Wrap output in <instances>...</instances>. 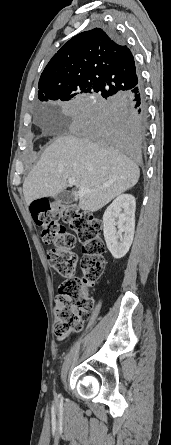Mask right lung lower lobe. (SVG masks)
<instances>
[{"mask_svg":"<svg viewBox=\"0 0 171 445\" xmlns=\"http://www.w3.org/2000/svg\"><path fill=\"white\" fill-rule=\"evenodd\" d=\"M120 40L114 30H110ZM90 135L133 160L141 158L147 110L141 85L129 93L94 102L88 111Z\"/></svg>","mask_w":171,"mask_h":445,"instance_id":"obj_1","label":"right lung lower lobe"}]
</instances>
